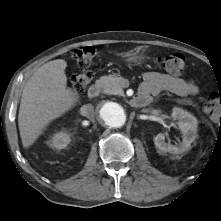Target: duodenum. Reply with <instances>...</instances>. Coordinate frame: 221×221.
Returning a JSON list of instances; mask_svg holds the SVG:
<instances>
[{
  "label": "duodenum",
  "instance_id": "obj_1",
  "mask_svg": "<svg viewBox=\"0 0 221 221\" xmlns=\"http://www.w3.org/2000/svg\"><path fill=\"white\" fill-rule=\"evenodd\" d=\"M100 90H101V85L99 83H95L88 89V96L90 98H95L99 95ZM151 102H152L151 96L146 93H140L131 100V104L137 108L145 107L149 105Z\"/></svg>",
  "mask_w": 221,
  "mask_h": 221
}]
</instances>
